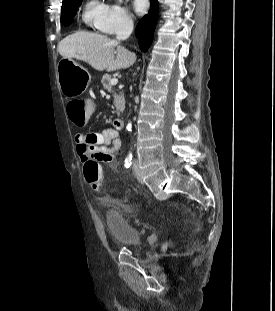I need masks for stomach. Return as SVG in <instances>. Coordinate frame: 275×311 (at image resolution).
Here are the masks:
<instances>
[{
    "label": "stomach",
    "instance_id": "obj_1",
    "mask_svg": "<svg viewBox=\"0 0 275 311\" xmlns=\"http://www.w3.org/2000/svg\"><path fill=\"white\" fill-rule=\"evenodd\" d=\"M57 74L59 88L66 97L81 95L91 80L88 71L71 58H62L59 61Z\"/></svg>",
    "mask_w": 275,
    "mask_h": 311
}]
</instances>
